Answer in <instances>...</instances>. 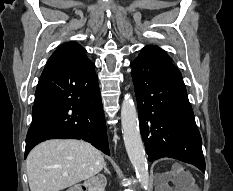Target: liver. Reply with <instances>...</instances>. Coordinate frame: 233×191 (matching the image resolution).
<instances>
[{
  "mask_svg": "<svg viewBox=\"0 0 233 191\" xmlns=\"http://www.w3.org/2000/svg\"><path fill=\"white\" fill-rule=\"evenodd\" d=\"M26 167L31 191H60L98 174L104 157L82 140L54 139L33 148Z\"/></svg>",
  "mask_w": 233,
  "mask_h": 191,
  "instance_id": "6515ba94",
  "label": "liver"
}]
</instances>
